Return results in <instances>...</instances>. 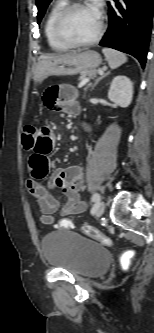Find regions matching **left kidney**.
I'll list each match as a JSON object with an SVG mask.
<instances>
[{
	"label": "left kidney",
	"instance_id": "obj_1",
	"mask_svg": "<svg viewBox=\"0 0 154 333\" xmlns=\"http://www.w3.org/2000/svg\"><path fill=\"white\" fill-rule=\"evenodd\" d=\"M133 97V84L126 76L119 75L115 77L108 91L110 101L120 107H128Z\"/></svg>",
	"mask_w": 154,
	"mask_h": 333
}]
</instances>
